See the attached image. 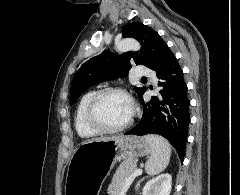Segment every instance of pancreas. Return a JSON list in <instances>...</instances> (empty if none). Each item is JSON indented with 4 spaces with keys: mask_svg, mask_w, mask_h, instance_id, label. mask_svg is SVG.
<instances>
[{
    "mask_svg": "<svg viewBox=\"0 0 240 195\" xmlns=\"http://www.w3.org/2000/svg\"><path fill=\"white\" fill-rule=\"evenodd\" d=\"M137 161L138 159H133V157L121 161L119 167H117L113 175V181H111L108 185V191L111 195H116V193H120V191H122L124 183L127 181V177L138 169Z\"/></svg>",
    "mask_w": 240,
    "mask_h": 195,
    "instance_id": "obj_1",
    "label": "pancreas"
}]
</instances>
